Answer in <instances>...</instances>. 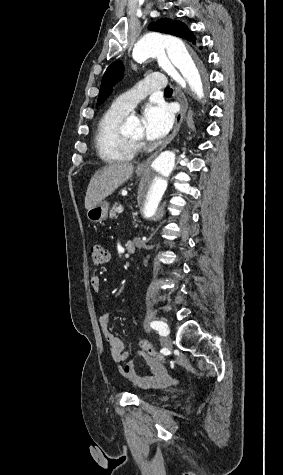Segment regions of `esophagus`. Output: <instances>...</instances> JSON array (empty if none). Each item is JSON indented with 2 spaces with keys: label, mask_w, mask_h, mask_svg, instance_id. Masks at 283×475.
Masks as SVG:
<instances>
[{
  "label": "esophagus",
  "mask_w": 283,
  "mask_h": 475,
  "mask_svg": "<svg viewBox=\"0 0 283 475\" xmlns=\"http://www.w3.org/2000/svg\"><path fill=\"white\" fill-rule=\"evenodd\" d=\"M174 95L176 96L177 100L180 103V110L176 115L174 128L171 134L169 135V137L165 140V142L162 143L161 147L158 150H156L152 155H150L144 162L138 165L137 171L146 170V168L149 166V164L155 158V156L159 152H161V150H163L173 140V138L176 136V134L178 133L181 127L182 121L185 117V114L188 108V103H187L185 94L182 92V90L178 86L175 87Z\"/></svg>",
  "instance_id": "34e87169"
}]
</instances>
